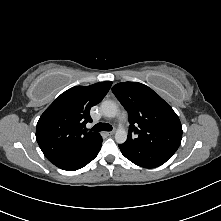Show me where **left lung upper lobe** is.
Instances as JSON below:
<instances>
[{
  "label": "left lung upper lobe",
  "instance_id": "1",
  "mask_svg": "<svg viewBox=\"0 0 221 221\" xmlns=\"http://www.w3.org/2000/svg\"><path fill=\"white\" fill-rule=\"evenodd\" d=\"M112 91L129 114L126 142L176 152L182 139V126L167 102L138 82L118 83Z\"/></svg>",
  "mask_w": 221,
  "mask_h": 221
}]
</instances>
